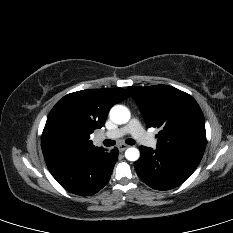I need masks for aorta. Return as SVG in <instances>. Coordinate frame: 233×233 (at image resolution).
Wrapping results in <instances>:
<instances>
[{
	"label": "aorta",
	"mask_w": 233,
	"mask_h": 233,
	"mask_svg": "<svg viewBox=\"0 0 233 233\" xmlns=\"http://www.w3.org/2000/svg\"><path fill=\"white\" fill-rule=\"evenodd\" d=\"M110 119L116 124H125L130 119V111L123 105H115L110 110ZM125 157L129 161H137L140 152L137 148L131 147L125 151Z\"/></svg>",
	"instance_id": "1"
}]
</instances>
